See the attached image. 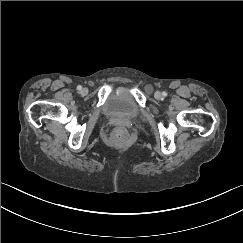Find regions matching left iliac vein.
<instances>
[{
  "label": "left iliac vein",
  "instance_id": "1",
  "mask_svg": "<svg viewBox=\"0 0 243 243\" xmlns=\"http://www.w3.org/2000/svg\"><path fill=\"white\" fill-rule=\"evenodd\" d=\"M154 97L156 99H160L162 97V94L159 91H157V92H155Z\"/></svg>",
  "mask_w": 243,
  "mask_h": 243
}]
</instances>
